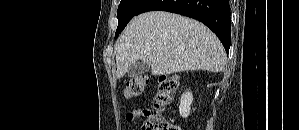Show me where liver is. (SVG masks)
<instances>
[{"instance_id":"obj_1","label":"liver","mask_w":299,"mask_h":130,"mask_svg":"<svg viewBox=\"0 0 299 130\" xmlns=\"http://www.w3.org/2000/svg\"><path fill=\"white\" fill-rule=\"evenodd\" d=\"M151 67L152 75L185 70L221 72L226 53L217 36L204 24L164 11L135 16L121 34L116 54L117 78L135 61Z\"/></svg>"}]
</instances>
